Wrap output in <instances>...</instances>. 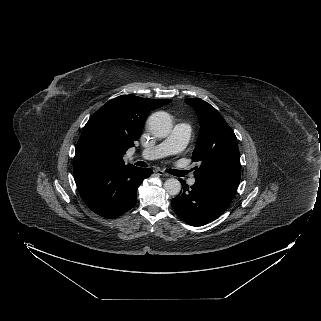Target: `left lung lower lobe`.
I'll use <instances>...</instances> for the list:
<instances>
[{
  "label": "left lung lower lobe",
  "mask_w": 321,
  "mask_h": 321,
  "mask_svg": "<svg viewBox=\"0 0 321 321\" xmlns=\"http://www.w3.org/2000/svg\"><path fill=\"white\" fill-rule=\"evenodd\" d=\"M183 190L172 199L174 212L187 224L205 225L218 218L234 198L240 175L214 174L195 179L191 187L180 179Z\"/></svg>",
  "instance_id": "1"
}]
</instances>
